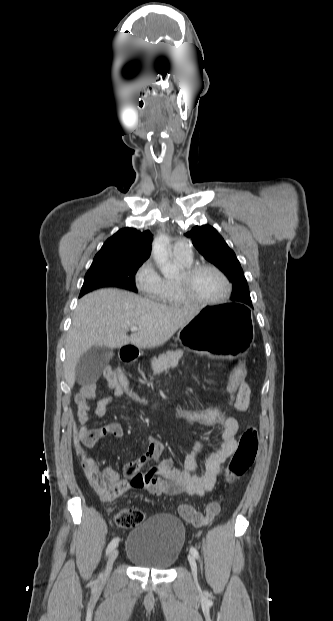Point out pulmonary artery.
<instances>
[{"label":"pulmonary artery","mask_w":333,"mask_h":621,"mask_svg":"<svg viewBox=\"0 0 333 621\" xmlns=\"http://www.w3.org/2000/svg\"><path fill=\"white\" fill-rule=\"evenodd\" d=\"M173 255L176 258L191 261L193 258L191 245L186 240H179L173 246Z\"/></svg>","instance_id":"pulmonary-artery-1"}]
</instances>
